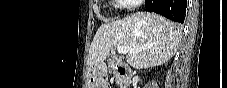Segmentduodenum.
<instances>
[{"label": "duodenum", "mask_w": 227, "mask_h": 88, "mask_svg": "<svg viewBox=\"0 0 227 88\" xmlns=\"http://www.w3.org/2000/svg\"><path fill=\"white\" fill-rule=\"evenodd\" d=\"M111 67L118 70L121 78L125 83H128L132 77V72L128 69L126 63L122 60H111L109 61Z\"/></svg>", "instance_id": "410a0bca"}]
</instances>
